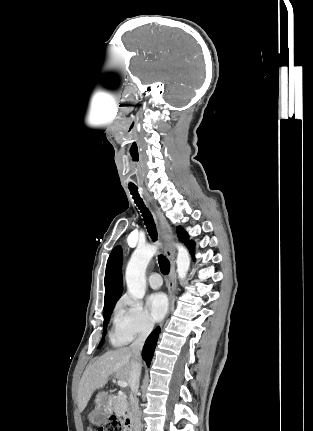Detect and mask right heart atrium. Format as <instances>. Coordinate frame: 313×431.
Wrapping results in <instances>:
<instances>
[{
  "label": "right heart atrium",
  "instance_id": "obj_1",
  "mask_svg": "<svg viewBox=\"0 0 313 431\" xmlns=\"http://www.w3.org/2000/svg\"><path fill=\"white\" fill-rule=\"evenodd\" d=\"M116 330L130 338L147 336L153 329V322L143 305L129 295L123 296L117 304L114 319Z\"/></svg>",
  "mask_w": 313,
  "mask_h": 431
}]
</instances>
